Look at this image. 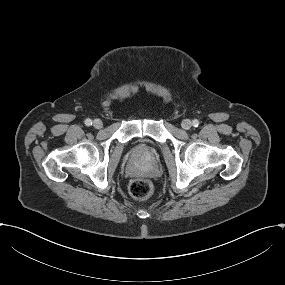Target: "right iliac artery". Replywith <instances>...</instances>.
Listing matches in <instances>:
<instances>
[{
    "label": "right iliac artery",
    "mask_w": 285,
    "mask_h": 285,
    "mask_svg": "<svg viewBox=\"0 0 285 285\" xmlns=\"http://www.w3.org/2000/svg\"><path fill=\"white\" fill-rule=\"evenodd\" d=\"M85 124H86L87 126L92 125L91 119H86V120H85Z\"/></svg>",
    "instance_id": "82829eb1"
}]
</instances>
